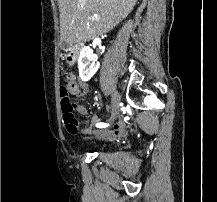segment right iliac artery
I'll list each match as a JSON object with an SVG mask.
<instances>
[{
    "instance_id": "right-iliac-artery-1",
    "label": "right iliac artery",
    "mask_w": 217,
    "mask_h": 202,
    "mask_svg": "<svg viewBox=\"0 0 217 202\" xmlns=\"http://www.w3.org/2000/svg\"><path fill=\"white\" fill-rule=\"evenodd\" d=\"M108 126H109V124L103 123V122H100V123H97V124H96V127H98V128H106V127H108Z\"/></svg>"
}]
</instances>
